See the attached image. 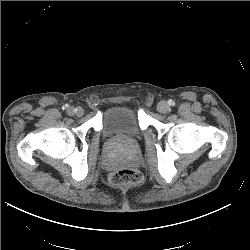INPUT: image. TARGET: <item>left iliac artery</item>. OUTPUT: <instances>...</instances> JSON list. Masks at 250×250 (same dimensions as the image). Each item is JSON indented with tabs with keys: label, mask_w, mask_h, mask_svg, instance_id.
Instances as JSON below:
<instances>
[{
	"label": "left iliac artery",
	"mask_w": 250,
	"mask_h": 250,
	"mask_svg": "<svg viewBox=\"0 0 250 250\" xmlns=\"http://www.w3.org/2000/svg\"><path fill=\"white\" fill-rule=\"evenodd\" d=\"M168 104H169V105H174V101H173V100H169V101H168Z\"/></svg>",
	"instance_id": "1"
}]
</instances>
